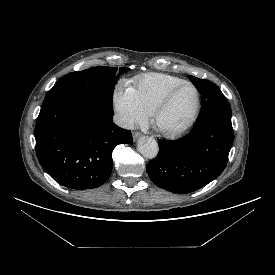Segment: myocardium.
Masks as SVG:
<instances>
[{
	"label": "myocardium",
	"mask_w": 275,
	"mask_h": 275,
	"mask_svg": "<svg viewBox=\"0 0 275 275\" xmlns=\"http://www.w3.org/2000/svg\"><path fill=\"white\" fill-rule=\"evenodd\" d=\"M186 85L192 87L196 94V106H195L194 113H193L192 117L190 118V120L181 128H178V129L172 130V131H164V130H161L158 128L159 131L161 132V134L166 137H177V136H180V135L188 132L196 124V122L200 116L201 106H202L200 91L195 84H193L190 81L184 80V81L172 86L170 89H168L166 91V93L160 98V100L155 104L152 111L150 112L151 121L156 126V119H157L158 115L161 113V111H163L167 107V105L169 104L174 93L179 88H181L182 86H186Z\"/></svg>",
	"instance_id": "1"
}]
</instances>
